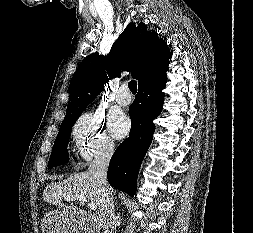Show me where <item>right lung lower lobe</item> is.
Here are the masks:
<instances>
[{
	"label": "right lung lower lobe",
	"instance_id": "1",
	"mask_svg": "<svg viewBox=\"0 0 253 233\" xmlns=\"http://www.w3.org/2000/svg\"><path fill=\"white\" fill-rule=\"evenodd\" d=\"M166 71L158 72L138 86V94L129 107L132 126L126 138L113 154L107 173L109 183L133 196L142 160L151 144L155 125L153 120L161 113Z\"/></svg>",
	"mask_w": 253,
	"mask_h": 233
}]
</instances>
